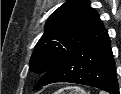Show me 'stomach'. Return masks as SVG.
<instances>
[{"instance_id": "stomach-1", "label": "stomach", "mask_w": 121, "mask_h": 94, "mask_svg": "<svg viewBox=\"0 0 121 94\" xmlns=\"http://www.w3.org/2000/svg\"><path fill=\"white\" fill-rule=\"evenodd\" d=\"M54 94H87V93L84 89L80 87L68 86V87L58 90Z\"/></svg>"}]
</instances>
